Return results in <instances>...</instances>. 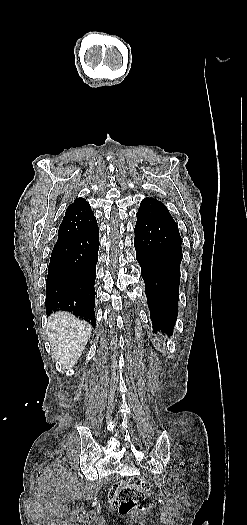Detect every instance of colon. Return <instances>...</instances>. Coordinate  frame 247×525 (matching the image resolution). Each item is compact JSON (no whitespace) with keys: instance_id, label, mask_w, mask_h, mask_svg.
<instances>
[{"instance_id":"obj_1","label":"colon","mask_w":247,"mask_h":525,"mask_svg":"<svg viewBox=\"0 0 247 525\" xmlns=\"http://www.w3.org/2000/svg\"><path fill=\"white\" fill-rule=\"evenodd\" d=\"M152 493L151 485L141 479L131 478L126 482L125 489H118L119 512L128 514L133 508L145 511L152 506L148 497Z\"/></svg>"}]
</instances>
